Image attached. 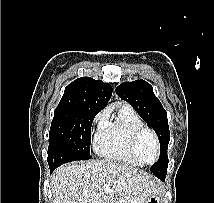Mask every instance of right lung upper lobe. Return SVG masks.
I'll use <instances>...</instances> for the list:
<instances>
[{
  "mask_svg": "<svg viewBox=\"0 0 214 203\" xmlns=\"http://www.w3.org/2000/svg\"><path fill=\"white\" fill-rule=\"evenodd\" d=\"M111 95L110 84L90 77H82L66 86L59 105L86 106L100 111L106 106Z\"/></svg>",
  "mask_w": 214,
  "mask_h": 203,
  "instance_id": "1",
  "label": "right lung upper lobe"
}]
</instances>
